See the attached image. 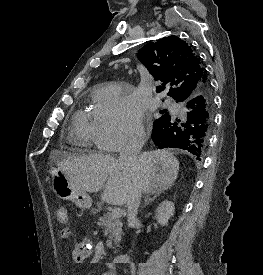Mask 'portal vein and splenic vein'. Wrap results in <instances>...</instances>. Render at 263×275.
Returning a JSON list of instances; mask_svg holds the SVG:
<instances>
[{
  "instance_id": "18ae733b",
  "label": "portal vein and splenic vein",
  "mask_w": 263,
  "mask_h": 275,
  "mask_svg": "<svg viewBox=\"0 0 263 275\" xmlns=\"http://www.w3.org/2000/svg\"><path fill=\"white\" fill-rule=\"evenodd\" d=\"M121 215H122V210H121V208H114V209L112 210V212H111V216H112L113 218H120Z\"/></svg>"
}]
</instances>
